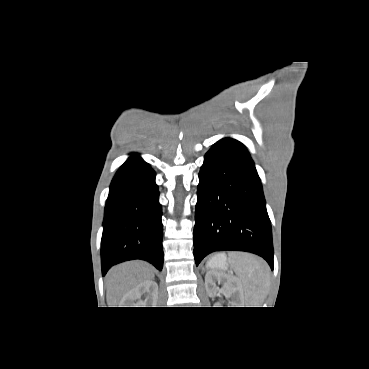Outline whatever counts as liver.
<instances>
[{
  "instance_id": "1",
  "label": "liver",
  "mask_w": 369,
  "mask_h": 369,
  "mask_svg": "<svg viewBox=\"0 0 369 369\" xmlns=\"http://www.w3.org/2000/svg\"><path fill=\"white\" fill-rule=\"evenodd\" d=\"M154 279L152 267L142 261H130L111 268L106 284V300L108 307H116L120 299L132 288L142 282Z\"/></svg>"
}]
</instances>
